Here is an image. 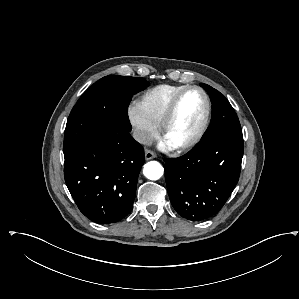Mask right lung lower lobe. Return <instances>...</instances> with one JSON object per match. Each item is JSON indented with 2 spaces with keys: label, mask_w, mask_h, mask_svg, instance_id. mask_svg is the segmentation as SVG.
<instances>
[{
  "label": "right lung lower lobe",
  "mask_w": 299,
  "mask_h": 299,
  "mask_svg": "<svg viewBox=\"0 0 299 299\" xmlns=\"http://www.w3.org/2000/svg\"><path fill=\"white\" fill-rule=\"evenodd\" d=\"M144 160L143 147L128 130L108 132L65 158V182L85 216L115 223L132 209Z\"/></svg>",
  "instance_id": "obj_1"
}]
</instances>
